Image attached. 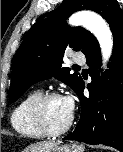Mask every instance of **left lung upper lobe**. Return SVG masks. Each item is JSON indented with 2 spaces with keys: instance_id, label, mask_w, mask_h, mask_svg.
<instances>
[{
  "instance_id": "obj_1",
  "label": "left lung upper lobe",
  "mask_w": 123,
  "mask_h": 152,
  "mask_svg": "<svg viewBox=\"0 0 123 152\" xmlns=\"http://www.w3.org/2000/svg\"><path fill=\"white\" fill-rule=\"evenodd\" d=\"M116 0H65L57 9L41 16L28 31L15 57L9 98L16 101L35 82L55 77L75 92L82 80L70 68L62 67L66 49L85 53L96 38L82 27L66 25L73 12L89 9L104 19L115 11Z\"/></svg>"
}]
</instances>
